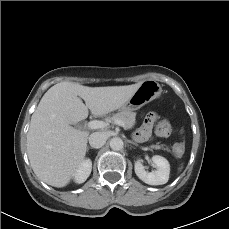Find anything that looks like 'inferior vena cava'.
<instances>
[{
    "instance_id": "602c4592",
    "label": "inferior vena cava",
    "mask_w": 229,
    "mask_h": 229,
    "mask_svg": "<svg viewBox=\"0 0 229 229\" xmlns=\"http://www.w3.org/2000/svg\"><path fill=\"white\" fill-rule=\"evenodd\" d=\"M106 136L103 133L95 132L89 136V144L92 148H101L106 143Z\"/></svg>"
}]
</instances>
